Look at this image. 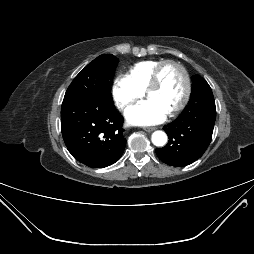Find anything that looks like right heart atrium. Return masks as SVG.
Returning a JSON list of instances; mask_svg holds the SVG:
<instances>
[{
	"mask_svg": "<svg viewBox=\"0 0 254 254\" xmlns=\"http://www.w3.org/2000/svg\"><path fill=\"white\" fill-rule=\"evenodd\" d=\"M112 95L117 107L124 109L142 98L144 92L137 88L127 75H118L113 82Z\"/></svg>",
	"mask_w": 254,
	"mask_h": 254,
	"instance_id": "d8ad5b80",
	"label": "right heart atrium"
}]
</instances>
